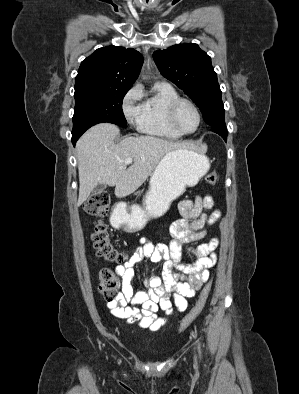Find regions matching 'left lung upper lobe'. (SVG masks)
Instances as JSON below:
<instances>
[{"mask_svg": "<svg viewBox=\"0 0 299 394\" xmlns=\"http://www.w3.org/2000/svg\"><path fill=\"white\" fill-rule=\"evenodd\" d=\"M153 59L161 74L193 100L209 126L226 125L217 74L211 58L197 44H179L156 51Z\"/></svg>", "mask_w": 299, "mask_h": 394, "instance_id": "5c2ea615", "label": "left lung upper lobe"}]
</instances>
